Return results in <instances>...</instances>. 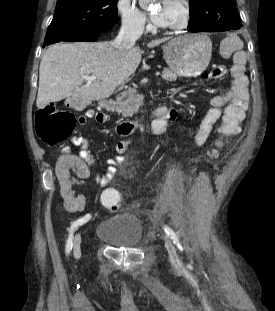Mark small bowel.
<instances>
[{
  "label": "small bowel",
  "instance_id": "obj_1",
  "mask_svg": "<svg viewBox=\"0 0 275 311\" xmlns=\"http://www.w3.org/2000/svg\"><path fill=\"white\" fill-rule=\"evenodd\" d=\"M243 43L236 36H230L223 40L221 57H232L233 67L230 71L231 86L222 93L214 96L210 101V109L201 123H198L194 131L196 144L200 145L206 141L209 133H212L214 125L220 118H240V123L245 118V112L249 105L248 79L246 76V55L242 51ZM74 108H82L80 103H70ZM164 110H155L150 120V134L163 135L168 125L177 118V110L172 107L163 106ZM85 118L95 119L103 123L108 120V116L94 109L85 112ZM86 122L81 123L84 125ZM222 129V128H221ZM224 133L235 134L240 130H222ZM74 146L80 148L79 155H75L74 150H64L63 155H57L58 169L54 174L60 180L62 197L65 199V211L75 213L84 208V198L74 191L69 180H85L89 176L86 164L90 165L93 159L89 153V141L86 137L76 136L72 139ZM133 144L132 140L119 141L116 146V155L107 159V168L103 176L97 178L99 185L106 187L116 174L117 165L123 164L125 158L123 154L127 148ZM80 158L82 160H80ZM72 171V173H69Z\"/></svg>",
  "mask_w": 275,
  "mask_h": 311
}]
</instances>
